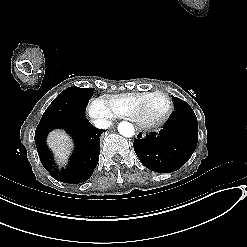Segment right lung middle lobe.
Returning <instances> with one entry per match:
<instances>
[{
    "mask_svg": "<svg viewBox=\"0 0 247 247\" xmlns=\"http://www.w3.org/2000/svg\"><path fill=\"white\" fill-rule=\"evenodd\" d=\"M93 88L69 87L48 106L40 122L64 116H84Z\"/></svg>",
    "mask_w": 247,
    "mask_h": 247,
    "instance_id": "dd1d6c3e",
    "label": "right lung middle lobe"
}]
</instances>
